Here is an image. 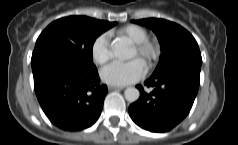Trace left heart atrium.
Listing matches in <instances>:
<instances>
[{
    "instance_id": "1",
    "label": "left heart atrium",
    "mask_w": 238,
    "mask_h": 145,
    "mask_svg": "<svg viewBox=\"0 0 238 145\" xmlns=\"http://www.w3.org/2000/svg\"><path fill=\"white\" fill-rule=\"evenodd\" d=\"M143 73L144 67L141 61L133 59L107 65L101 70L100 76L109 85L124 86L141 79Z\"/></svg>"
}]
</instances>
